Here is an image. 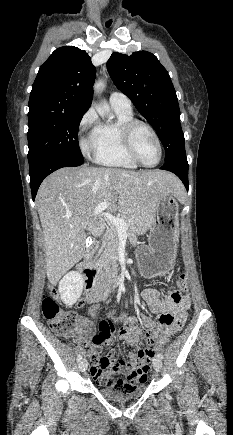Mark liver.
I'll list each match as a JSON object with an SVG mask.
<instances>
[{"label":"liver","instance_id":"1","mask_svg":"<svg viewBox=\"0 0 233 435\" xmlns=\"http://www.w3.org/2000/svg\"><path fill=\"white\" fill-rule=\"evenodd\" d=\"M180 198L184 188L173 174L161 170L127 171L103 167H65L41 184L36 205L43 229L47 278L56 283L85 253L89 231L100 236L102 220L93 218L101 202L131 221L135 233L151 228L160 201ZM119 196V197H118Z\"/></svg>","mask_w":233,"mask_h":435}]
</instances>
